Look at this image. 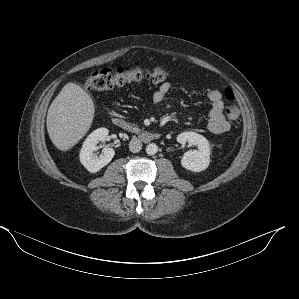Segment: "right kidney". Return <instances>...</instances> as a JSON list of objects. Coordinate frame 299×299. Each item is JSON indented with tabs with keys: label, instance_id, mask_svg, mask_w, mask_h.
Returning <instances> with one entry per match:
<instances>
[{
	"label": "right kidney",
	"instance_id": "ca27d5eb",
	"mask_svg": "<svg viewBox=\"0 0 299 299\" xmlns=\"http://www.w3.org/2000/svg\"><path fill=\"white\" fill-rule=\"evenodd\" d=\"M107 128H99L93 131L84 141L80 151V161L82 165L91 173H96L110 163L115 155V150L105 147L99 156L94 152L98 149L97 144L104 142L108 136Z\"/></svg>",
	"mask_w": 299,
	"mask_h": 299
}]
</instances>
